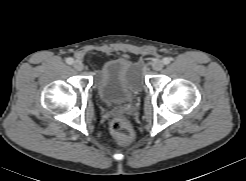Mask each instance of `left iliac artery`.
I'll return each mask as SVG.
<instances>
[{"label":"left iliac artery","instance_id":"1","mask_svg":"<svg viewBox=\"0 0 246 181\" xmlns=\"http://www.w3.org/2000/svg\"><path fill=\"white\" fill-rule=\"evenodd\" d=\"M171 60H172V58L165 57V58H163V63L167 65V64H169L171 62Z\"/></svg>","mask_w":246,"mask_h":181}]
</instances>
